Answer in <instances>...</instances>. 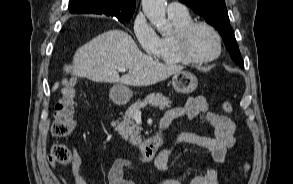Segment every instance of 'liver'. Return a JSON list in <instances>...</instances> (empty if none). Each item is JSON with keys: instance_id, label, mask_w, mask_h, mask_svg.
<instances>
[{"instance_id": "liver-1", "label": "liver", "mask_w": 293, "mask_h": 184, "mask_svg": "<svg viewBox=\"0 0 293 184\" xmlns=\"http://www.w3.org/2000/svg\"><path fill=\"white\" fill-rule=\"evenodd\" d=\"M118 67L128 73L119 76ZM71 73L95 82L148 86L183 70L182 66L163 64L142 53L125 31L113 29L93 38L77 49ZM55 83L53 91L58 89Z\"/></svg>"}]
</instances>
